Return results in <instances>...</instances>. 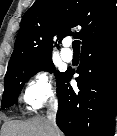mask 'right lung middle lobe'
Instances as JSON below:
<instances>
[{
    "label": "right lung middle lobe",
    "mask_w": 117,
    "mask_h": 136,
    "mask_svg": "<svg viewBox=\"0 0 117 136\" xmlns=\"http://www.w3.org/2000/svg\"><path fill=\"white\" fill-rule=\"evenodd\" d=\"M55 73L58 82L64 73L55 71L52 57L24 59L8 66L4 80V93L1 107L8 108L16 103L24 83L39 71Z\"/></svg>",
    "instance_id": "dd1d6c3e"
}]
</instances>
